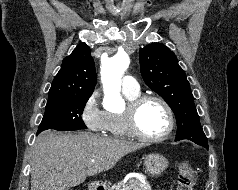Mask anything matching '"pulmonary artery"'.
Masks as SVG:
<instances>
[{
	"instance_id": "e3ab8cb5",
	"label": "pulmonary artery",
	"mask_w": 238,
	"mask_h": 190,
	"mask_svg": "<svg viewBox=\"0 0 238 190\" xmlns=\"http://www.w3.org/2000/svg\"><path fill=\"white\" fill-rule=\"evenodd\" d=\"M122 90L124 92L136 93L140 91V86L133 76L127 75L122 79Z\"/></svg>"
}]
</instances>
